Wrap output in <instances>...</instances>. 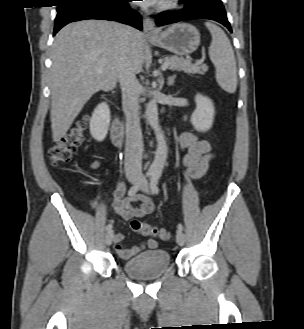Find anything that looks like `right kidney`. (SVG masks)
Returning <instances> with one entry per match:
<instances>
[{
    "label": "right kidney",
    "mask_w": 304,
    "mask_h": 329,
    "mask_svg": "<svg viewBox=\"0 0 304 329\" xmlns=\"http://www.w3.org/2000/svg\"><path fill=\"white\" fill-rule=\"evenodd\" d=\"M110 123V110L105 102L100 103L90 119V133L97 141H103L108 133Z\"/></svg>",
    "instance_id": "right-kidney-1"
}]
</instances>
